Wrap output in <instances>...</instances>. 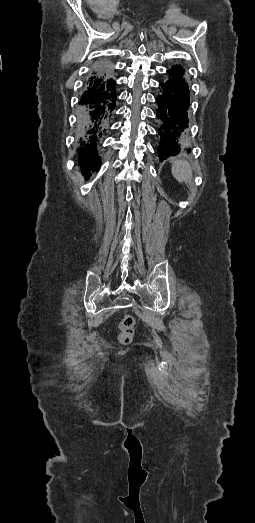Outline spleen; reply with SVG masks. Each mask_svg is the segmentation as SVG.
<instances>
[{"label": "spleen", "instance_id": "obj_1", "mask_svg": "<svg viewBox=\"0 0 255 523\" xmlns=\"http://www.w3.org/2000/svg\"><path fill=\"white\" fill-rule=\"evenodd\" d=\"M172 176L178 182L190 184L192 182V168L186 160H175L172 164Z\"/></svg>", "mask_w": 255, "mask_h": 523}]
</instances>
